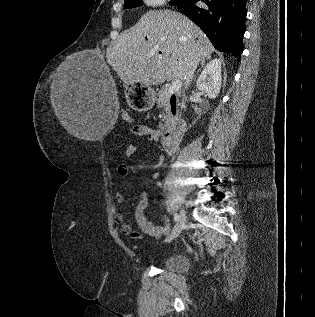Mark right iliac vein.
<instances>
[{
    "instance_id": "obj_1",
    "label": "right iliac vein",
    "mask_w": 315,
    "mask_h": 317,
    "mask_svg": "<svg viewBox=\"0 0 315 317\" xmlns=\"http://www.w3.org/2000/svg\"><path fill=\"white\" fill-rule=\"evenodd\" d=\"M185 223H186L185 211L181 210L180 215H179V220H178L177 224L175 225L172 233L167 237L166 242H170L173 239H175L180 234V232L183 230Z\"/></svg>"
}]
</instances>
